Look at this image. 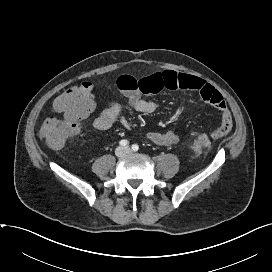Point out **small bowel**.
I'll return each mask as SVG.
<instances>
[{"instance_id":"1","label":"small bowel","mask_w":272,"mask_h":272,"mask_svg":"<svg viewBox=\"0 0 272 272\" xmlns=\"http://www.w3.org/2000/svg\"><path fill=\"white\" fill-rule=\"evenodd\" d=\"M116 87L127 97L133 109L144 114L154 113L157 109V105L153 101L142 98L144 94H156L166 89L193 91L204 102L215 107L221 113V125L212 132V137L221 138L231 131L232 117L223 96L211 84L198 77L175 71L157 72L141 78L124 74L116 79ZM116 122H119L127 129L130 128V123L122 116L121 104L114 99H110L106 101L94 118L93 126L98 130H107ZM147 138L151 142L165 147L172 146L179 141V135L175 130L149 132Z\"/></svg>"}]
</instances>
